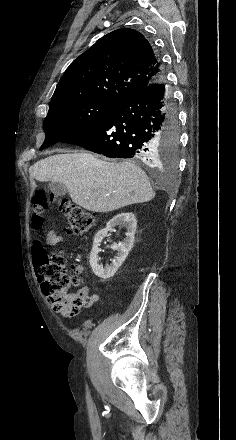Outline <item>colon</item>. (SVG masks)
Masks as SVG:
<instances>
[{
  "mask_svg": "<svg viewBox=\"0 0 236 440\" xmlns=\"http://www.w3.org/2000/svg\"><path fill=\"white\" fill-rule=\"evenodd\" d=\"M48 203L49 197L44 191H37L32 197V226L36 231L43 226V212L47 209ZM58 204L67 219L69 233L83 235L95 227L96 217L93 213L67 200H59ZM39 243L36 241L38 246H40ZM36 271L42 281V291L48 301L66 317L77 314L82 301L70 294L68 289L78 284L79 278L68 273L65 254L61 251L47 254L42 248Z\"/></svg>",
  "mask_w": 236,
  "mask_h": 440,
  "instance_id": "1",
  "label": "colon"
}]
</instances>
